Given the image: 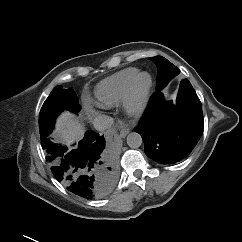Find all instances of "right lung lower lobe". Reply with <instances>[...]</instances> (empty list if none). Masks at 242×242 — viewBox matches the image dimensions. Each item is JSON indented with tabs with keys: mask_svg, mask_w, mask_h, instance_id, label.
Listing matches in <instances>:
<instances>
[{
	"mask_svg": "<svg viewBox=\"0 0 242 242\" xmlns=\"http://www.w3.org/2000/svg\"><path fill=\"white\" fill-rule=\"evenodd\" d=\"M41 144L53 175L73 194L86 199L98 198L113 187L114 165L103 154V136L88 131L71 150L48 138H44Z\"/></svg>",
	"mask_w": 242,
	"mask_h": 242,
	"instance_id": "1",
	"label": "right lung lower lobe"
}]
</instances>
